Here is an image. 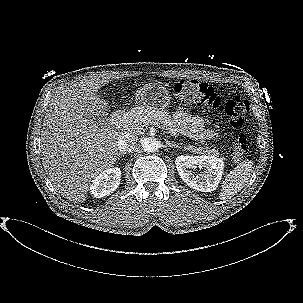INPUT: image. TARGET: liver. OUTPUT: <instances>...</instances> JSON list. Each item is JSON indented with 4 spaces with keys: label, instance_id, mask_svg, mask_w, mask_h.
Instances as JSON below:
<instances>
[{
    "label": "liver",
    "instance_id": "6515ba94",
    "mask_svg": "<svg viewBox=\"0 0 303 303\" xmlns=\"http://www.w3.org/2000/svg\"><path fill=\"white\" fill-rule=\"evenodd\" d=\"M110 78L83 79L56 91L44 119L43 166L55 189L70 202L83 203L93 179L118 156V132L92 119L107 115L108 104L97 92Z\"/></svg>",
    "mask_w": 303,
    "mask_h": 303
}]
</instances>
